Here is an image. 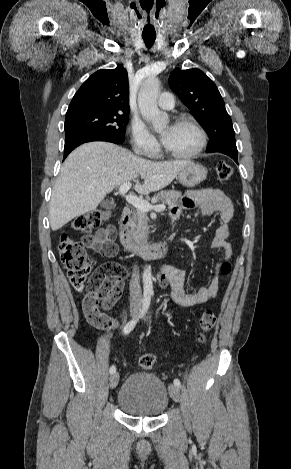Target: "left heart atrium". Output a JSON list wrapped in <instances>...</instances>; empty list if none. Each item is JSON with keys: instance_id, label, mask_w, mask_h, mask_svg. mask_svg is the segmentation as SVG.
Instances as JSON below:
<instances>
[{"instance_id": "39dd6f15", "label": "left heart atrium", "mask_w": 291, "mask_h": 469, "mask_svg": "<svg viewBox=\"0 0 291 469\" xmlns=\"http://www.w3.org/2000/svg\"><path fill=\"white\" fill-rule=\"evenodd\" d=\"M169 135V131H167L165 134H162V141L165 142V140L167 139Z\"/></svg>"}]
</instances>
